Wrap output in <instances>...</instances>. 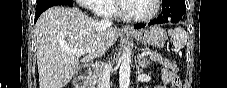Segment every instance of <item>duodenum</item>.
<instances>
[{
    "label": "duodenum",
    "instance_id": "1",
    "mask_svg": "<svg viewBox=\"0 0 227 88\" xmlns=\"http://www.w3.org/2000/svg\"><path fill=\"white\" fill-rule=\"evenodd\" d=\"M89 75V68L87 66H83L74 78V82L79 86V88H86Z\"/></svg>",
    "mask_w": 227,
    "mask_h": 88
}]
</instances>
